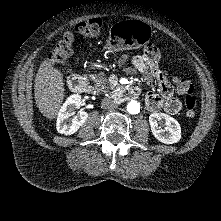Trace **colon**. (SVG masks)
Instances as JSON below:
<instances>
[{
  "mask_svg": "<svg viewBox=\"0 0 221 221\" xmlns=\"http://www.w3.org/2000/svg\"><path fill=\"white\" fill-rule=\"evenodd\" d=\"M102 30V20L100 18H90L75 26L74 33L68 32L55 45L49 54L48 61L51 64H62L67 62L73 55V46L75 41H86L90 38H96ZM148 56L155 61L158 58V51L154 47L148 51ZM75 62L80 63L77 58ZM177 91L184 95L185 114L188 118L194 117L197 109V97L194 94V88L190 81L184 78L176 80Z\"/></svg>",
  "mask_w": 221,
  "mask_h": 221,
  "instance_id": "colon-1",
  "label": "colon"
}]
</instances>
